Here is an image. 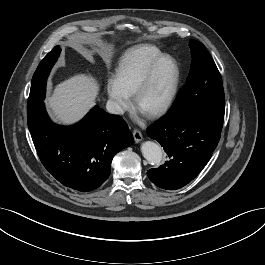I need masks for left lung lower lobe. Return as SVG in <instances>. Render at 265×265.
I'll return each instance as SVG.
<instances>
[{
	"label": "left lung lower lobe",
	"instance_id": "1",
	"mask_svg": "<svg viewBox=\"0 0 265 265\" xmlns=\"http://www.w3.org/2000/svg\"><path fill=\"white\" fill-rule=\"evenodd\" d=\"M220 128L192 113L167 114L147 129L157 140L169 160L147 171L158 187L175 190L192 181L205 167L220 139Z\"/></svg>",
	"mask_w": 265,
	"mask_h": 265
}]
</instances>
